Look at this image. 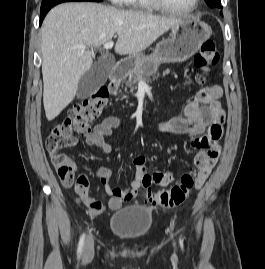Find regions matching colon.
Masks as SVG:
<instances>
[{
	"label": "colon",
	"mask_w": 265,
	"mask_h": 269,
	"mask_svg": "<svg viewBox=\"0 0 265 269\" xmlns=\"http://www.w3.org/2000/svg\"><path fill=\"white\" fill-rule=\"evenodd\" d=\"M219 52L215 43L205 41L195 55L194 63L199 69L198 80L203 81L206 74L219 62ZM109 93L105 87L100 88L92 96L81 104L70 109L67 117L57 124L47 138V149L51 156L52 164L56 169L57 176L64 186H72L75 181L76 165L63 150L73 145V135H87L91 131V122L98 118L108 103ZM220 124H214L210 128V136L213 139L221 137ZM197 186L194 175L184 174L180 181L165 191L148 192L149 202L160 207H176L183 204L191 192Z\"/></svg>",
	"instance_id": "5ec220e1"
}]
</instances>
